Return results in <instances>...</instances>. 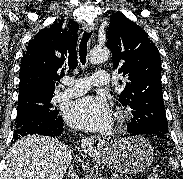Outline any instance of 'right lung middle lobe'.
Returning <instances> with one entry per match:
<instances>
[{
  "instance_id": "dd1d6c3e",
  "label": "right lung middle lobe",
  "mask_w": 183,
  "mask_h": 179,
  "mask_svg": "<svg viewBox=\"0 0 183 179\" xmlns=\"http://www.w3.org/2000/svg\"><path fill=\"white\" fill-rule=\"evenodd\" d=\"M53 94H35L18 98L16 130L29 122H49L58 118Z\"/></svg>"
}]
</instances>
